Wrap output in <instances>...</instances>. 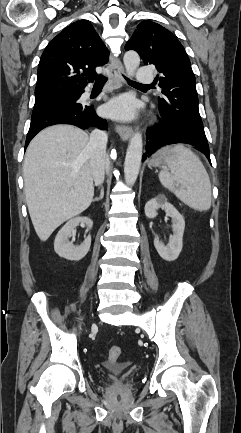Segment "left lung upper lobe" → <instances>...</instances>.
<instances>
[{
  "mask_svg": "<svg viewBox=\"0 0 241 433\" xmlns=\"http://www.w3.org/2000/svg\"><path fill=\"white\" fill-rule=\"evenodd\" d=\"M135 50L145 65L154 64L162 89L158 97L159 113L193 134L206 139L198 109L196 80L182 44L163 26L142 21L125 46Z\"/></svg>",
  "mask_w": 241,
  "mask_h": 433,
  "instance_id": "1",
  "label": "left lung upper lobe"
}]
</instances>
